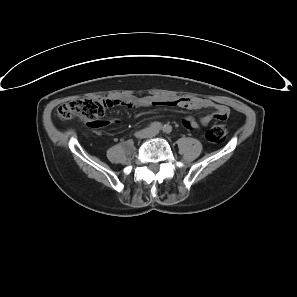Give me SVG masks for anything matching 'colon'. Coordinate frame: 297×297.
I'll return each instance as SVG.
<instances>
[{
    "label": "colon",
    "mask_w": 297,
    "mask_h": 297,
    "mask_svg": "<svg viewBox=\"0 0 297 297\" xmlns=\"http://www.w3.org/2000/svg\"><path fill=\"white\" fill-rule=\"evenodd\" d=\"M108 100L102 98L75 99L62 104L57 110V116L61 120H70L73 117L96 119L101 121L105 115ZM227 129L222 124L212 126L205 134L206 139L211 143H221L226 139Z\"/></svg>",
    "instance_id": "obj_1"
}]
</instances>
